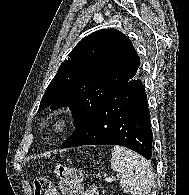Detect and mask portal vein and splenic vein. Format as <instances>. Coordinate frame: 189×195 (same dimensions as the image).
<instances>
[{"label": "portal vein and splenic vein", "instance_id": "18ae733b", "mask_svg": "<svg viewBox=\"0 0 189 195\" xmlns=\"http://www.w3.org/2000/svg\"><path fill=\"white\" fill-rule=\"evenodd\" d=\"M105 181L106 182H111V181H113V177H105Z\"/></svg>", "mask_w": 189, "mask_h": 195}]
</instances>
